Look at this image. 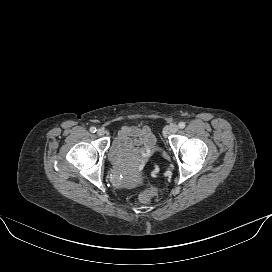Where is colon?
Here are the masks:
<instances>
[{"mask_svg": "<svg viewBox=\"0 0 272 272\" xmlns=\"http://www.w3.org/2000/svg\"><path fill=\"white\" fill-rule=\"evenodd\" d=\"M158 194V190L154 186H150L146 188L139 196V199L142 203L147 204L151 202V200L156 197Z\"/></svg>", "mask_w": 272, "mask_h": 272, "instance_id": "colon-1", "label": "colon"}]
</instances>
